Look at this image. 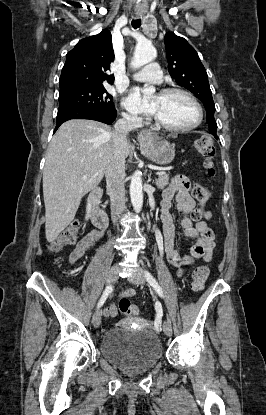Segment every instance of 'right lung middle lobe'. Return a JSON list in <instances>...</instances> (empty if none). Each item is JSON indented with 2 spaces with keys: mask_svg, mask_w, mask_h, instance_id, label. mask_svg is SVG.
<instances>
[{
  "mask_svg": "<svg viewBox=\"0 0 266 415\" xmlns=\"http://www.w3.org/2000/svg\"><path fill=\"white\" fill-rule=\"evenodd\" d=\"M85 108L101 111L115 110L112 96L104 85L82 87L60 92L59 109Z\"/></svg>",
  "mask_w": 266,
  "mask_h": 415,
  "instance_id": "1",
  "label": "right lung middle lobe"
}]
</instances>
